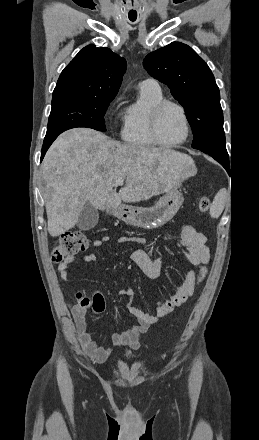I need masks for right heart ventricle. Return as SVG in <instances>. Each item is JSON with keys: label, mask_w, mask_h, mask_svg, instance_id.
<instances>
[{"label": "right heart ventricle", "mask_w": 259, "mask_h": 440, "mask_svg": "<svg viewBox=\"0 0 259 440\" xmlns=\"http://www.w3.org/2000/svg\"><path fill=\"white\" fill-rule=\"evenodd\" d=\"M162 100V93L140 91L139 99L130 104L123 115L121 138L125 143L140 149L157 145L150 134L149 118L152 108Z\"/></svg>", "instance_id": "1"}]
</instances>
